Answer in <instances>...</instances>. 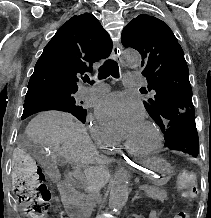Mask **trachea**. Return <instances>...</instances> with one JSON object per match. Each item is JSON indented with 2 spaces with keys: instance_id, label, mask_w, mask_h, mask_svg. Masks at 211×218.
Wrapping results in <instances>:
<instances>
[{
  "instance_id": "1",
  "label": "trachea",
  "mask_w": 211,
  "mask_h": 218,
  "mask_svg": "<svg viewBox=\"0 0 211 218\" xmlns=\"http://www.w3.org/2000/svg\"><path fill=\"white\" fill-rule=\"evenodd\" d=\"M112 76L113 78H119V67L118 64L114 60H106L103 65L99 68L98 79L104 80L105 78ZM83 81L88 83H94V81H90L89 77H85Z\"/></svg>"
}]
</instances>
